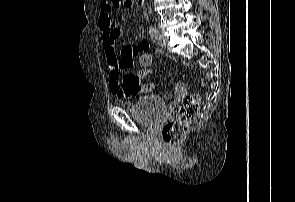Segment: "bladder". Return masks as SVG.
<instances>
[{
  "mask_svg": "<svg viewBox=\"0 0 295 202\" xmlns=\"http://www.w3.org/2000/svg\"><path fill=\"white\" fill-rule=\"evenodd\" d=\"M130 111L141 124L155 126L165 118L167 104L160 96L147 95L141 97Z\"/></svg>",
  "mask_w": 295,
  "mask_h": 202,
  "instance_id": "bladder-1",
  "label": "bladder"
}]
</instances>
